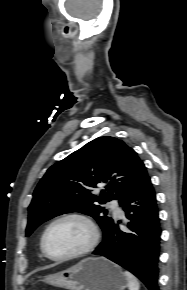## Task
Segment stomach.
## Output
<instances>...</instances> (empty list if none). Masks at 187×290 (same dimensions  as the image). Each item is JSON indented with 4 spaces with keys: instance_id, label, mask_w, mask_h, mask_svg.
<instances>
[{
    "instance_id": "obj_1",
    "label": "stomach",
    "mask_w": 187,
    "mask_h": 290,
    "mask_svg": "<svg viewBox=\"0 0 187 290\" xmlns=\"http://www.w3.org/2000/svg\"><path fill=\"white\" fill-rule=\"evenodd\" d=\"M42 281L67 290H124L128 285L122 269L104 257L83 259Z\"/></svg>"
}]
</instances>
